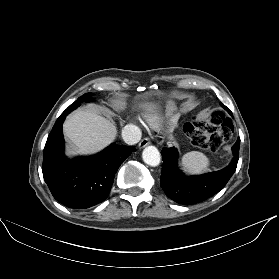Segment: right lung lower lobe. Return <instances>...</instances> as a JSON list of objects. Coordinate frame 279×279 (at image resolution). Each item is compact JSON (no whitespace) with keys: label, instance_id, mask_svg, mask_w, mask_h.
<instances>
[{"label":"right lung lower lobe","instance_id":"98d812e1","mask_svg":"<svg viewBox=\"0 0 279 279\" xmlns=\"http://www.w3.org/2000/svg\"><path fill=\"white\" fill-rule=\"evenodd\" d=\"M64 111L50 132L43 154V177L54 198L69 208L85 209L109 195L121 163L134 147L111 144L90 158L68 159L64 155Z\"/></svg>","mask_w":279,"mask_h":279}]
</instances>
